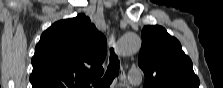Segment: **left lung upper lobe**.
I'll return each mask as SVG.
<instances>
[{
	"label": "left lung upper lobe",
	"instance_id": "1",
	"mask_svg": "<svg viewBox=\"0 0 223 88\" xmlns=\"http://www.w3.org/2000/svg\"><path fill=\"white\" fill-rule=\"evenodd\" d=\"M138 65L143 70L144 88H199L200 81L180 42L158 25L145 26Z\"/></svg>",
	"mask_w": 223,
	"mask_h": 88
}]
</instances>
